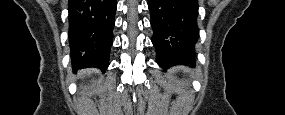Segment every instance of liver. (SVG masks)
I'll return each mask as SVG.
<instances>
[{"label":"liver","mask_w":285,"mask_h":115,"mask_svg":"<svg viewBox=\"0 0 285 115\" xmlns=\"http://www.w3.org/2000/svg\"><path fill=\"white\" fill-rule=\"evenodd\" d=\"M92 71H93L92 69L83 70V71L79 72V75L80 76L89 75Z\"/></svg>","instance_id":"6515ba94"}]
</instances>
